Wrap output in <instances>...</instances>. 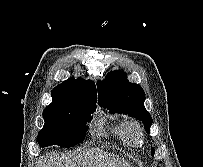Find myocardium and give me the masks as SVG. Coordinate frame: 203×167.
<instances>
[{
  "instance_id": "f54148a6",
  "label": "myocardium",
  "mask_w": 203,
  "mask_h": 167,
  "mask_svg": "<svg viewBox=\"0 0 203 167\" xmlns=\"http://www.w3.org/2000/svg\"><path fill=\"white\" fill-rule=\"evenodd\" d=\"M125 127L130 141L138 144L143 135L141 124L137 120H129L126 122Z\"/></svg>"
}]
</instances>
